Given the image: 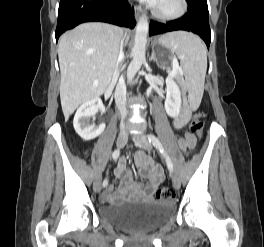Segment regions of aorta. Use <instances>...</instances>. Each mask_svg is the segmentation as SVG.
<instances>
[{"instance_id": "762f6f07", "label": "aorta", "mask_w": 264, "mask_h": 247, "mask_svg": "<svg viewBox=\"0 0 264 247\" xmlns=\"http://www.w3.org/2000/svg\"><path fill=\"white\" fill-rule=\"evenodd\" d=\"M149 31L148 18L144 15L139 18L135 29L132 61L127 68V80L131 83L142 64L145 62V51Z\"/></svg>"}]
</instances>
